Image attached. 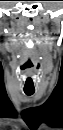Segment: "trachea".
<instances>
[{
	"label": "trachea",
	"mask_w": 63,
	"mask_h": 130,
	"mask_svg": "<svg viewBox=\"0 0 63 130\" xmlns=\"http://www.w3.org/2000/svg\"><path fill=\"white\" fill-rule=\"evenodd\" d=\"M34 94V92H26L25 91V95H27V96H32Z\"/></svg>",
	"instance_id": "1"
}]
</instances>
